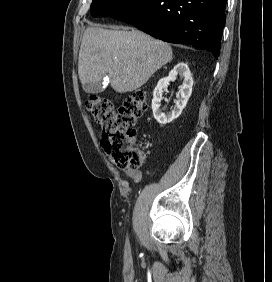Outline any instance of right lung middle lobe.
Returning <instances> with one entry per match:
<instances>
[{
    "label": "right lung middle lobe",
    "instance_id": "1",
    "mask_svg": "<svg viewBox=\"0 0 272 282\" xmlns=\"http://www.w3.org/2000/svg\"><path fill=\"white\" fill-rule=\"evenodd\" d=\"M137 0H93L90 8L94 17L111 16Z\"/></svg>",
    "mask_w": 272,
    "mask_h": 282
}]
</instances>
